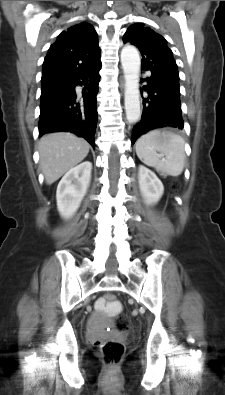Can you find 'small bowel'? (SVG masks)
Returning <instances> with one entry per match:
<instances>
[{"instance_id":"c3829d8e","label":"small bowel","mask_w":225,"mask_h":395,"mask_svg":"<svg viewBox=\"0 0 225 395\" xmlns=\"http://www.w3.org/2000/svg\"><path fill=\"white\" fill-rule=\"evenodd\" d=\"M95 306L98 311L106 312L107 315H123L125 313L123 300H111L110 304H107L105 298H100Z\"/></svg>"}]
</instances>
